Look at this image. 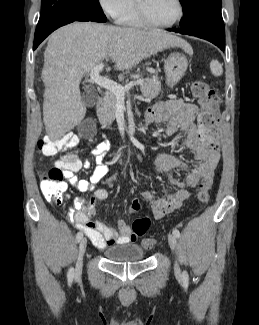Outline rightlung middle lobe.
I'll return each mask as SVG.
<instances>
[{
	"instance_id": "1",
	"label": "right lung middle lobe",
	"mask_w": 259,
	"mask_h": 325,
	"mask_svg": "<svg viewBox=\"0 0 259 325\" xmlns=\"http://www.w3.org/2000/svg\"><path fill=\"white\" fill-rule=\"evenodd\" d=\"M62 17H72L80 21L106 22L107 20L99 0H42L36 32Z\"/></svg>"
}]
</instances>
